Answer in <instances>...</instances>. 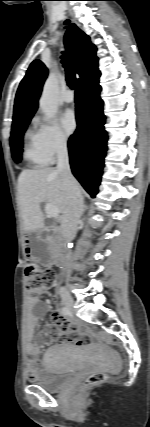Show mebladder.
I'll return each mask as SVG.
<instances>
[{"label": "bladder", "mask_w": 150, "mask_h": 427, "mask_svg": "<svg viewBox=\"0 0 150 427\" xmlns=\"http://www.w3.org/2000/svg\"><path fill=\"white\" fill-rule=\"evenodd\" d=\"M73 372V367L68 364L47 360L45 375L35 384L49 392L58 391L70 381Z\"/></svg>", "instance_id": "31cf9c89"}]
</instances>
